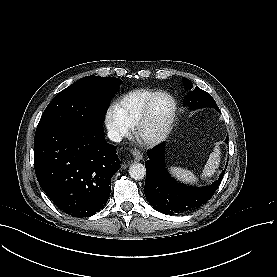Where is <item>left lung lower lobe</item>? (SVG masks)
Wrapping results in <instances>:
<instances>
[{"mask_svg": "<svg viewBox=\"0 0 277 277\" xmlns=\"http://www.w3.org/2000/svg\"><path fill=\"white\" fill-rule=\"evenodd\" d=\"M164 149L163 142L147 152L149 160L145 163L147 174L144 193L148 202L154 209L169 215L186 213L205 204L216 191L225 170L210 186H186L173 179L165 168Z\"/></svg>", "mask_w": 277, "mask_h": 277, "instance_id": "0a47b994", "label": "left lung lower lobe"}]
</instances>
